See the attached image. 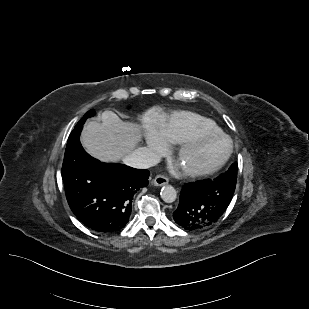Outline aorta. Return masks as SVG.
<instances>
[{
	"mask_svg": "<svg viewBox=\"0 0 309 309\" xmlns=\"http://www.w3.org/2000/svg\"><path fill=\"white\" fill-rule=\"evenodd\" d=\"M161 198L166 203H172L176 200L177 192L171 185L162 187L160 192Z\"/></svg>",
	"mask_w": 309,
	"mask_h": 309,
	"instance_id": "obj_1",
	"label": "aorta"
}]
</instances>
